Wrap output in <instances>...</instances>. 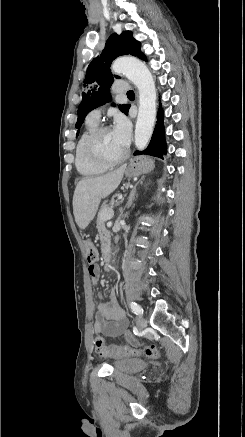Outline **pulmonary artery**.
<instances>
[{
  "label": "pulmonary artery",
  "mask_w": 245,
  "mask_h": 437,
  "mask_svg": "<svg viewBox=\"0 0 245 437\" xmlns=\"http://www.w3.org/2000/svg\"><path fill=\"white\" fill-rule=\"evenodd\" d=\"M129 90V85L124 81H118L113 85V91L115 93H124ZM101 116V110L99 108L93 109L89 112L87 119L99 122Z\"/></svg>",
  "instance_id": "e3ab8cb5"
}]
</instances>
